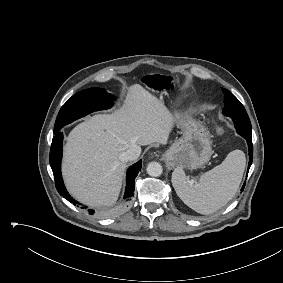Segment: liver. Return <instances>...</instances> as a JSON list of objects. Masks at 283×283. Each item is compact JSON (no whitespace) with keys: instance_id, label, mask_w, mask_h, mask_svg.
I'll list each match as a JSON object with an SVG mask.
<instances>
[{"instance_id":"obj_1","label":"liver","mask_w":283,"mask_h":283,"mask_svg":"<svg viewBox=\"0 0 283 283\" xmlns=\"http://www.w3.org/2000/svg\"><path fill=\"white\" fill-rule=\"evenodd\" d=\"M174 115L139 84L128 88L124 105L112 114H97L78 124L67 137L63 176L69 192L90 206H110L119 196L130 147L163 144Z\"/></svg>"}]
</instances>
